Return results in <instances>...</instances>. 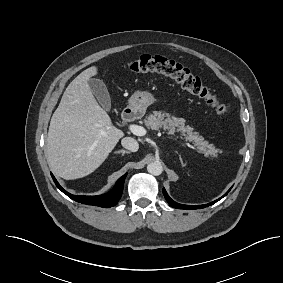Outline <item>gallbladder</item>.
I'll return each mask as SVG.
<instances>
[{
  "mask_svg": "<svg viewBox=\"0 0 283 283\" xmlns=\"http://www.w3.org/2000/svg\"><path fill=\"white\" fill-rule=\"evenodd\" d=\"M88 84L100 105L105 110H109L111 107V98L105 83L100 79L91 78L88 80Z\"/></svg>",
  "mask_w": 283,
  "mask_h": 283,
  "instance_id": "bac80fb5",
  "label": "gallbladder"
}]
</instances>
